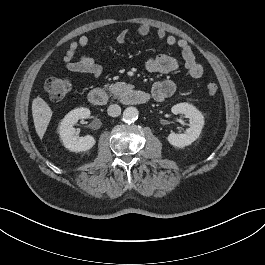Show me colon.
<instances>
[{
  "label": "colon",
  "instance_id": "1",
  "mask_svg": "<svg viewBox=\"0 0 265 265\" xmlns=\"http://www.w3.org/2000/svg\"><path fill=\"white\" fill-rule=\"evenodd\" d=\"M45 90L51 100L61 101L69 94L71 83L67 79L49 78L45 82ZM205 91L209 96H214L218 91V86L210 81L206 84Z\"/></svg>",
  "mask_w": 265,
  "mask_h": 265
}]
</instances>
